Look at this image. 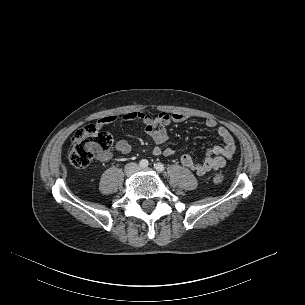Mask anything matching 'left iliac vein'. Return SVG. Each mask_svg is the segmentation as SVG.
I'll use <instances>...</instances> for the list:
<instances>
[{
    "instance_id": "left-iliac-vein-1",
    "label": "left iliac vein",
    "mask_w": 305,
    "mask_h": 305,
    "mask_svg": "<svg viewBox=\"0 0 305 305\" xmlns=\"http://www.w3.org/2000/svg\"><path fill=\"white\" fill-rule=\"evenodd\" d=\"M144 171H151V169L150 168H145Z\"/></svg>"
}]
</instances>
